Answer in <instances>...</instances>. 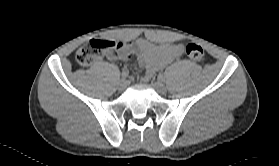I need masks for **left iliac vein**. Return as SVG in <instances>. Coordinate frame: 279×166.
I'll return each instance as SVG.
<instances>
[{"label": "left iliac vein", "mask_w": 279, "mask_h": 166, "mask_svg": "<svg viewBox=\"0 0 279 166\" xmlns=\"http://www.w3.org/2000/svg\"><path fill=\"white\" fill-rule=\"evenodd\" d=\"M153 87L159 94L164 95L167 92L166 86L159 80L153 84Z\"/></svg>", "instance_id": "left-iliac-vein-1"}]
</instances>
